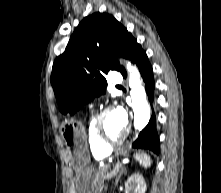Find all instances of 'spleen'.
Masks as SVG:
<instances>
[{
  "label": "spleen",
  "instance_id": "obj_1",
  "mask_svg": "<svg viewBox=\"0 0 221 193\" xmlns=\"http://www.w3.org/2000/svg\"><path fill=\"white\" fill-rule=\"evenodd\" d=\"M135 158L143 167H145V168L150 167L151 159H150V156H148L147 154L136 153Z\"/></svg>",
  "mask_w": 221,
  "mask_h": 193
}]
</instances>
